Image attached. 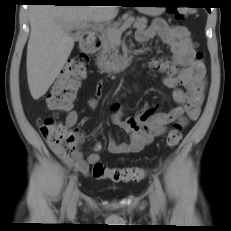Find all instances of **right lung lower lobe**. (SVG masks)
I'll return each instance as SVG.
<instances>
[{
  "mask_svg": "<svg viewBox=\"0 0 231 231\" xmlns=\"http://www.w3.org/2000/svg\"><path fill=\"white\" fill-rule=\"evenodd\" d=\"M30 3H52L54 5H81L79 0H26Z\"/></svg>",
  "mask_w": 231,
  "mask_h": 231,
  "instance_id": "1",
  "label": "right lung lower lobe"
}]
</instances>
